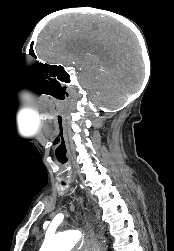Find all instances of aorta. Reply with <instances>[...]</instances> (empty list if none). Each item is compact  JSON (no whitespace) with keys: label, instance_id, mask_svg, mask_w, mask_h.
<instances>
[{"label":"aorta","instance_id":"1","mask_svg":"<svg viewBox=\"0 0 174 251\" xmlns=\"http://www.w3.org/2000/svg\"><path fill=\"white\" fill-rule=\"evenodd\" d=\"M80 238L81 235L76 230L65 231L47 239L40 251H71Z\"/></svg>","mask_w":174,"mask_h":251}]
</instances>
